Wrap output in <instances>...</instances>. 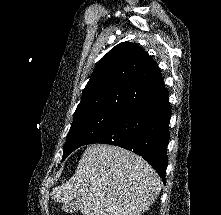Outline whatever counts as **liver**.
I'll return each instance as SVG.
<instances>
[{
	"label": "liver",
	"instance_id": "1",
	"mask_svg": "<svg viewBox=\"0 0 221 215\" xmlns=\"http://www.w3.org/2000/svg\"><path fill=\"white\" fill-rule=\"evenodd\" d=\"M160 190V177L143 158L118 146L92 144L73 177L54 188L51 197L75 201L83 215H141Z\"/></svg>",
	"mask_w": 221,
	"mask_h": 215
}]
</instances>
